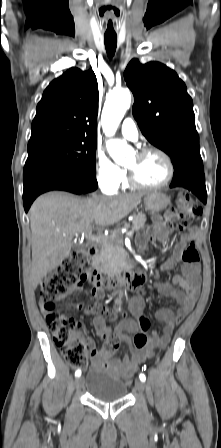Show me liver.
I'll return each mask as SVG.
<instances>
[{"mask_svg":"<svg viewBox=\"0 0 221 448\" xmlns=\"http://www.w3.org/2000/svg\"><path fill=\"white\" fill-rule=\"evenodd\" d=\"M147 194L79 199L65 192H49L38 197L29 211L33 287L69 256L75 235L90 232L94 225L101 231L119 222Z\"/></svg>","mask_w":221,"mask_h":448,"instance_id":"6515ba94","label":"liver"}]
</instances>
